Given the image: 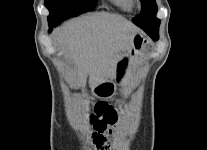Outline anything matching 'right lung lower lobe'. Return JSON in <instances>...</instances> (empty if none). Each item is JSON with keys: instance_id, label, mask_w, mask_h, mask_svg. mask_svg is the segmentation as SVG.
<instances>
[{"instance_id": "obj_1", "label": "right lung lower lobe", "mask_w": 207, "mask_h": 150, "mask_svg": "<svg viewBox=\"0 0 207 150\" xmlns=\"http://www.w3.org/2000/svg\"><path fill=\"white\" fill-rule=\"evenodd\" d=\"M58 24H55V23H49V27H55V26H57ZM49 32H51V29H49Z\"/></svg>"}]
</instances>
